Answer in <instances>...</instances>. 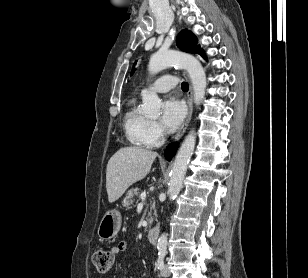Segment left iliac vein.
<instances>
[{"instance_id": "obj_1", "label": "left iliac vein", "mask_w": 308, "mask_h": 278, "mask_svg": "<svg viewBox=\"0 0 308 278\" xmlns=\"http://www.w3.org/2000/svg\"><path fill=\"white\" fill-rule=\"evenodd\" d=\"M171 274L170 269L167 265L164 266V268L161 270V275L163 277H169Z\"/></svg>"}]
</instances>
